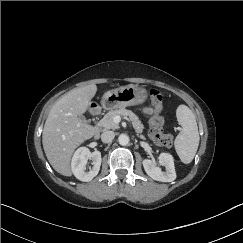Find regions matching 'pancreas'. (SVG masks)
Here are the masks:
<instances>
[{
    "label": "pancreas",
    "mask_w": 243,
    "mask_h": 243,
    "mask_svg": "<svg viewBox=\"0 0 243 243\" xmlns=\"http://www.w3.org/2000/svg\"><path fill=\"white\" fill-rule=\"evenodd\" d=\"M115 116H128L132 122L135 132L137 133V136L141 139H145V136L141 134L144 129V125L142 124L138 116L135 115L132 111L127 110L123 107L111 110L108 113H106L100 121V126L103 127L105 130L117 129L119 126L113 121V118Z\"/></svg>",
    "instance_id": "obj_1"
}]
</instances>
